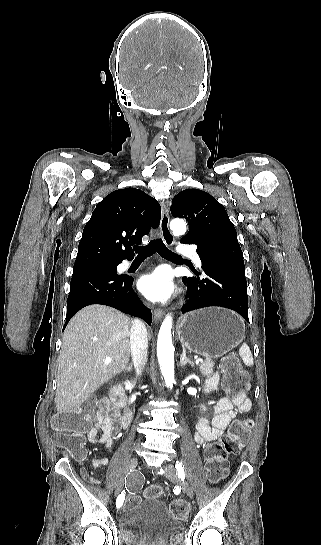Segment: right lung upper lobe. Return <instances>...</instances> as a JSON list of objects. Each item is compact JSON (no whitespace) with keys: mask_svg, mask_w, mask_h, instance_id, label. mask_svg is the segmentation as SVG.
Wrapping results in <instances>:
<instances>
[{"mask_svg":"<svg viewBox=\"0 0 321 545\" xmlns=\"http://www.w3.org/2000/svg\"><path fill=\"white\" fill-rule=\"evenodd\" d=\"M159 203L136 188L116 190L97 204L86 224L73 269L118 265L134 257L131 246L160 222Z\"/></svg>","mask_w":321,"mask_h":545,"instance_id":"1","label":"right lung upper lobe"}]
</instances>
